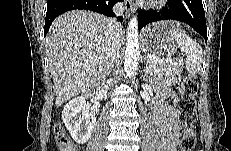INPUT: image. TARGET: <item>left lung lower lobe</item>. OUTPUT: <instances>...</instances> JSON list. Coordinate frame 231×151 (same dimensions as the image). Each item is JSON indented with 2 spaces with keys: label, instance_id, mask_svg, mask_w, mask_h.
Instances as JSON below:
<instances>
[{
  "label": "left lung lower lobe",
  "instance_id": "obj_1",
  "mask_svg": "<svg viewBox=\"0 0 231 151\" xmlns=\"http://www.w3.org/2000/svg\"><path fill=\"white\" fill-rule=\"evenodd\" d=\"M178 20L190 25L201 34L207 43V28L202 0H181L174 7L165 6L162 11L140 10L138 13L139 30L155 21Z\"/></svg>",
  "mask_w": 231,
  "mask_h": 151
}]
</instances>
